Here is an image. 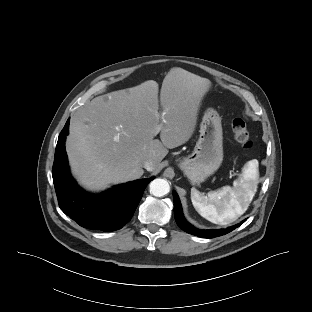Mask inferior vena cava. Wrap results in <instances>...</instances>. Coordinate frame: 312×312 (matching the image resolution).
<instances>
[{"label":"inferior vena cava","instance_id":"1","mask_svg":"<svg viewBox=\"0 0 312 312\" xmlns=\"http://www.w3.org/2000/svg\"><path fill=\"white\" fill-rule=\"evenodd\" d=\"M142 166L147 170V171H153L156 167V164L153 160L148 159V160H144L142 162Z\"/></svg>","mask_w":312,"mask_h":312}]
</instances>
